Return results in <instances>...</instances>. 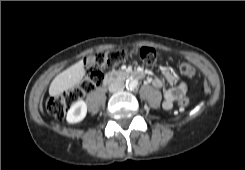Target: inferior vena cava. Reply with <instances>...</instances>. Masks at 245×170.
I'll use <instances>...</instances> for the list:
<instances>
[{
  "label": "inferior vena cava",
  "mask_w": 245,
  "mask_h": 170,
  "mask_svg": "<svg viewBox=\"0 0 245 170\" xmlns=\"http://www.w3.org/2000/svg\"><path fill=\"white\" fill-rule=\"evenodd\" d=\"M124 89V83L123 82H113L112 84H110L109 86V91L111 93H116L119 91H122Z\"/></svg>",
  "instance_id": "inferior-vena-cava-1"
}]
</instances>
